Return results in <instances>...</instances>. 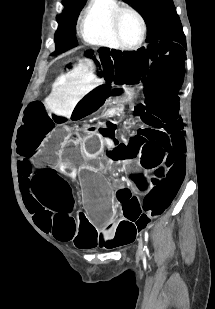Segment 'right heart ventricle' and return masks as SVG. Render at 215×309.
<instances>
[{
	"label": "right heart ventricle",
	"mask_w": 215,
	"mask_h": 309,
	"mask_svg": "<svg viewBox=\"0 0 215 309\" xmlns=\"http://www.w3.org/2000/svg\"><path fill=\"white\" fill-rule=\"evenodd\" d=\"M114 20L108 9H95V14H89L88 19H82V33L87 43L106 48H117L114 45Z\"/></svg>",
	"instance_id": "1"
}]
</instances>
